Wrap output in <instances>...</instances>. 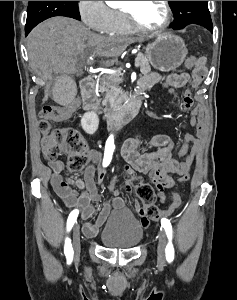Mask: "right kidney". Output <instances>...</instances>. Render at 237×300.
I'll use <instances>...</instances> for the list:
<instances>
[{"instance_id":"1","label":"right kidney","mask_w":237,"mask_h":300,"mask_svg":"<svg viewBox=\"0 0 237 300\" xmlns=\"http://www.w3.org/2000/svg\"><path fill=\"white\" fill-rule=\"evenodd\" d=\"M98 125V115H96L94 111L84 113L83 117H81V127L85 133H88V135H94L95 131L98 129Z\"/></svg>"}]
</instances>
